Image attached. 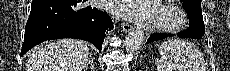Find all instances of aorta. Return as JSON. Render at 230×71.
Listing matches in <instances>:
<instances>
[{
  "mask_svg": "<svg viewBox=\"0 0 230 71\" xmlns=\"http://www.w3.org/2000/svg\"><path fill=\"white\" fill-rule=\"evenodd\" d=\"M144 42V32L140 29H133L125 40V50L130 53L137 52Z\"/></svg>",
  "mask_w": 230,
  "mask_h": 71,
  "instance_id": "762f6f07",
  "label": "aorta"
}]
</instances>
